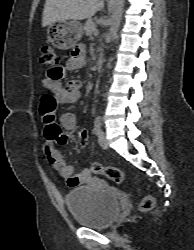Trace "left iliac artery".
<instances>
[{
  "instance_id": "44dca946",
  "label": "left iliac artery",
  "mask_w": 194,
  "mask_h": 250,
  "mask_svg": "<svg viewBox=\"0 0 194 250\" xmlns=\"http://www.w3.org/2000/svg\"><path fill=\"white\" fill-rule=\"evenodd\" d=\"M101 125H102L101 117H100V116H97V117L95 118V121H94V129H93V131H94V133H95L96 135L99 134V132H100V130H101Z\"/></svg>"
}]
</instances>
